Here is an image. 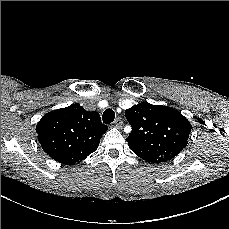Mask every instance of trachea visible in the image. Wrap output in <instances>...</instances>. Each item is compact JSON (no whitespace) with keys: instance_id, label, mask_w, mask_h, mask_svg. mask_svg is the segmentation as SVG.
Returning <instances> with one entry per match:
<instances>
[{"instance_id":"trachea-1","label":"trachea","mask_w":229,"mask_h":229,"mask_svg":"<svg viewBox=\"0 0 229 229\" xmlns=\"http://www.w3.org/2000/svg\"><path fill=\"white\" fill-rule=\"evenodd\" d=\"M114 118L115 112L112 109L108 108L103 112L102 120L105 124L112 123L114 121Z\"/></svg>"}]
</instances>
